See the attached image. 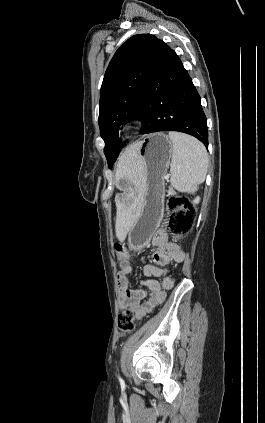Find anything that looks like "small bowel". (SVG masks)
<instances>
[{"label":"small bowel","instance_id":"1","mask_svg":"<svg viewBox=\"0 0 265 423\" xmlns=\"http://www.w3.org/2000/svg\"><path fill=\"white\" fill-rule=\"evenodd\" d=\"M152 245L157 249L152 254L153 263L144 266L143 272L147 279L141 281V288H129L132 271L129 254L125 262H120L117 274L119 309L131 311L137 320L151 313L164 301L166 292L172 289L174 280L165 267L172 261L182 262L185 259V252L178 244L168 240L167 232L162 228L154 233ZM157 277L161 281L155 279Z\"/></svg>","mask_w":265,"mask_h":423}]
</instances>
